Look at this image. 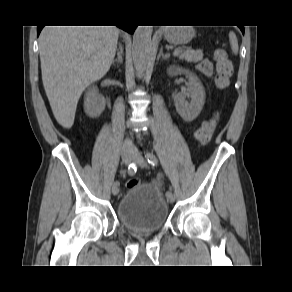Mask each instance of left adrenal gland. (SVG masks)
I'll list each match as a JSON object with an SVG mask.
<instances>
[{
	"label": "left adrenal gland",
	"mask_w": 292,
	"mask_h": 292,
	"mask_svg": "<svg viewBox=\"0 0 292 292\" xmlns=\"http://www.w3.org/2000/svg\"><path fill=\"white\" fill-rule=\"evenodd\" d=\"M160 57H162L163 59H167L169 57L168 54H163V48L161 47L160 51H159V54H158V57H157V60L160 59Z\"/></svg>",
	"instance_id": "obj_1"
}]
</instances>
